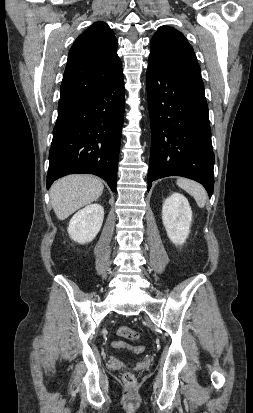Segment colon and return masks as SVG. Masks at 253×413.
<instances>
[{"instance_id": "1", "label": "colon", "mask_w": 253, "mask_h": 413, "mask_svg": "<svg viewBox=\"0 0 253 413\" xmlns=\"http://www.w3.org/2000/svg\"><path fill=\"white\" fill-rule=\"evenodd\" d=\"M116 333L118 336L123 337L125 339L131 340V341H136L139 339V333L127 326H118L116 329ZM113 346L115 348H126V344L122 341H114L113 342ZM132 350L135 353H141L144 351V346H138V347H134L132 348ZM123 381L127 384V385H134L136 378L134 376L133 373L131 372H126L123 375Z\"/></svg>"}]
</instances>
